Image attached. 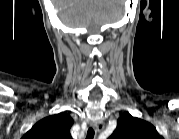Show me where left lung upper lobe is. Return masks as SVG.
I'll list each match as a JSON object with an SVG mask.
<instances>
[{
  "label": "left lung upper lobe",
  "instance_id": "obj_1",
  "mask_svg": "<svg viewBox=\"0 0 179 139\" xmlns=\"http://www.w3.org/2000/svg\"><path fill=\"white\" fill-rule=\"evenodd\" d=\"M110 139H160L155 127L136 117L122 115Z\"/></svg>",
  "mask_w": 179,
  "mask_h": 139
}]
</instances>
